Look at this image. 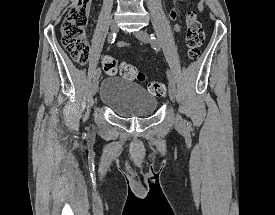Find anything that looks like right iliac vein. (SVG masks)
Returning <instances> with one entry per match:
<instances>
[{
	"label": "right iliac vein",
	"instance_id": "1",
	"mask_svg": "<svg viewBox=\"0 0 275 215\" xmlns=\"http://www.w3.org/2000/svg\"><path fill=\"white\" fill-rule=\"evenodd\" d=\"M117 30H118L117 22H116V21H113V22L111 23V31H112V32H115V31H117ZM98 84H99V75L96 76V77L93 79L92 84H91V93H92L93 95H95L96 92H97Z\"/></svg>",
	"mask_w": 275,
	"mask_h": 215
}]
</instances>
